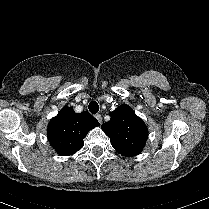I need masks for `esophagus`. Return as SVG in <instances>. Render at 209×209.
<instances>
[{
	"instance_id": "34e87169",
	"label": "esophagus",
	"mask_w": 209,
	"mask_h": 209,
	"mask_svg": "<svg viewBox=\"0 0 209 209\" xmlns=\"http://www.w3.org/2000/svg\"><path fill=\"white\" fill-rule=\"evenodd\" d=\"M95 118L98 120V122L101 124L102 123V116L100 114H96Z\"/></svg>"
}]
</instances>
